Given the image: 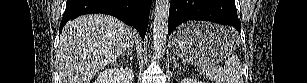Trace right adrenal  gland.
Here are the masks:
<instances>
[{
    "instance_id": "right-adrenal-gland-1",
    "label": "right adrenal gland",
    "mask_w": 307,
    "mask_h": 83,
    "mask_svg": "<svg viewBox=\"0 0 307 83\" xmlns=\"http://www.w3.org/2000/svg\"><path fill=\"white\" fill-rule=\"evenodd\" d=\"M124 56L130 57V59L132 60V59H133V56H132V48H129V49L127 50V53H126V54H123L121 57H124Z\"/></svg>"
}]
</instances>
